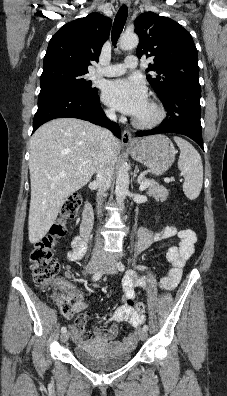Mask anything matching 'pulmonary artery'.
<instances>
[{"instance_id":"pulmonary-artery-1","label":"pulmonary artery","mask_w":227,"mask_h":396,"mask_svg":"<svg viewBox=\"0 0 227 396\" xmlns=\"http://www.w3.org/2000/svg\"><path fill=\"white\" fill-rule=\"evenodd\" d=\"M137 65H138L137 57L128 56L125 59V62L122 64H115L103 68H98L96 70V74L100 76H108V77L119 76L125 73L127 69L136 68Z\"/></svg>"}]
</instances>
